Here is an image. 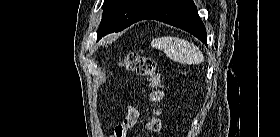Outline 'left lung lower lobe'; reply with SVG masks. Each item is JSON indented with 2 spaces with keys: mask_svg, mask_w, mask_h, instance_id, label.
Instances as JSON below:
<instances>
[{
  "mask_svg": "<svg viewBox=\"0 0 280 137\" xmlns=\"http://www.w3.org/2000/svg\"><path fill=\"white\" fill-rule=\"evenodd\" d=\"M157 20L197 37L207 44V33L193 0H161L138 21Z\"/></svg>",
  "mask_w": 280,
  "mask_h": 137,
  "instance_id": "left-lung-lower-lobe-1",
  "label": "left lung lower lobe"
}]
</instances>
